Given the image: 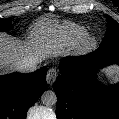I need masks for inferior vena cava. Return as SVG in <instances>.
Listing matches in <instances>:
<instances>
[{"instance_id":"602c4592","label":"inferior vena cava","mask_w":119,"mask_h":119,"mask_svg":"<svg viewBox=\"0 0 119 119\" xmlns=\"http://www.w3.org/2000/svg\"><path fill=\"white\" fill-rule=\"evenodd\" d=\"M38 63H39V61L31 60V61H28V62L20 65L18 67V69H19V71H21L23 73L34 72L38 69Z\"/></svg>"}]
</instances>
